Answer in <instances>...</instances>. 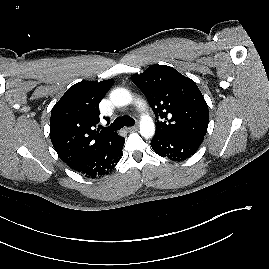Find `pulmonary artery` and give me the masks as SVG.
<instances>
[{
    "instance_id": "pulmonary-artery-1",
    "label": "pulmonary artery",
    "mask_w": 269,
    "mask_h": 269,
    "mask_svg": "<svg viewBox=\"0 0 269 269\" xmlns=\"http://www.w3.org/2000/svg\"><path fill=\"white\" fill-rule=\"evenodd\" d=\"M136 105L141 109V110H146V104L143 100L137 99L136 100Z\"/></svg>"
}]
</instances>
